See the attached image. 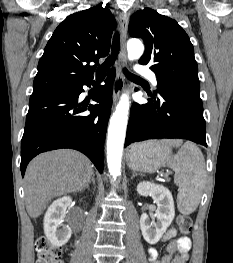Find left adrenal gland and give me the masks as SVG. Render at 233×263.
<instances>
[{
	"label": "left adrenal gland",
	"mask_w": 233,
	"mask_h": 263,
	"mask_svg": "<svg viewBox=\"0 0 233 263\" xmlns=\"http://www.w3.org/2000/svg\"><path fill=\"white\" fill-rule=\"evenodd\" d=\"M137 175H141V176H142V174L133 171V172H132V177H131V178H134V177L137 176Z\"/></svg>",
	"instance_id": "a2214340"
}]
</instances>
